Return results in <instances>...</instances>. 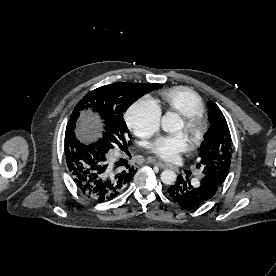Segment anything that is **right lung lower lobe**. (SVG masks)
<instances>
[{
  "instance_id": "1",
  "label": "right lung lower lobe",
  "mask_w": 276,
  "mask_h": 276,
  "mask_svg": "<svg viewBox=\"0 0 276 276\" xmlns=\"http://www.w3.org/2000/svg\"><path fill=\"white\" fill-rule=\"evenodd\" d=\"M65 156L78 190L96 202L109 201L118 196L136 173L134 167L129 165L114 170L109 164L108 154L101 150L98 142L82 144L76 139L74 131L71 133L67 128Z\"/></svg>"
}]
</instances>
